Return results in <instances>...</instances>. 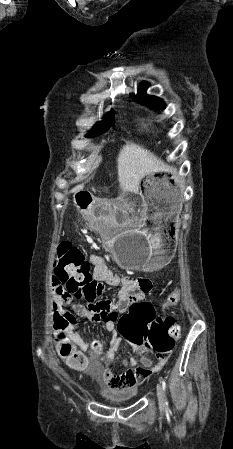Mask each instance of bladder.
Listing matches in <instances>:
<instances>
[{
    "mask_svg": "<svg viewBox=\"0 0 233 449\" xmlns=\"http://www.w3.org/2000/svg\"><path fill=\"white\" fill-rule=\"evenodd\" d=\"M100 393L110 403L124 404L135 398L138 390L134 388L117 390L101 385Z\"/></svg>",
    "mask_w": 233,
    "mask_h": 449,
    "instance_id": "bladder-1",
    "label": "bladder"
}]
</instances>
